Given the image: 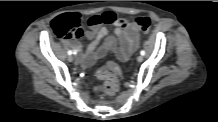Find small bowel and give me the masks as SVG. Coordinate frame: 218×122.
I'll return each instance as SVG.
<instances>
[{
  "label": "small bowel",
  "mask_w": 218,
  "mask_h": 122,
  "mask_svg": "<svg viewBox=\"0 0 218 122\" xmlns=\"http://www.w3.org/2000/svg\"><path fill=\"white\" fill-rule=\"evenodd\" d=\"M111 25L114 27V36L107 37V26ZM89 27L85 35L91 42L85 49L80 42H71L80 63L85 66H91L110 51L114 52L119 60L126 61L138 47L140 31L136 22L118 18L116 12L91 16ZM102 39L104 41L101 43Z\"/></svg>",
  "instance_id": "c3829d8e"
}]
</instances>
